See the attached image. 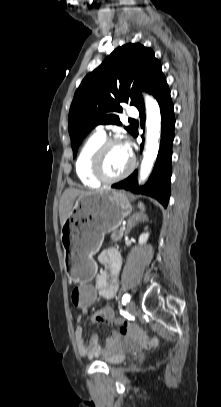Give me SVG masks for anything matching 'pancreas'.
I'll list each match as a JSON object with an SVG mask.
<instances>
[{"label": "pancreas", "instance_id": "1", "mask_svg": "<svg viewBox=\"0 0 221 407\" xmlns=\"http://www.w3.org/2000/svg\"><path fill=\"white\" fill-rule=\"evenodd\" d=\"M123 234H124V231H121V230H119V231H114V232L111 234V240H112V242L120 241V240L122 239V237H123Z\"/></svg>", "mask_w": 221, "mask_h": 407}]
</instances>
